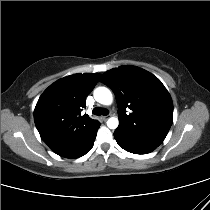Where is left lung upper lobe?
Returning a JSON list of instances; mask_svg holds the SVG:
<instances>
[{
    "label": "left lung upper lobe",
    "instance_id": "left-lung-upper-lobe-1",
    "mask_svg": "<svg viewBox=\"0 0 210 210\" xmlns=\"http://www.w3.org/2000/svg\"><path fill=\"white\" fill-rule=\"evenodd\" d=\"M100 81L116 96L119 126L115 134L160 145L173 122V102L162 82L135 66L105 72Z\"/></svg>",
    "mask_w": 210,
    "mask_h": 210
}]
</instances>
